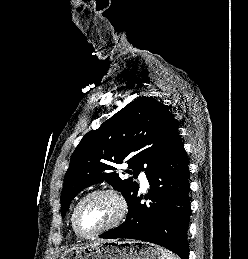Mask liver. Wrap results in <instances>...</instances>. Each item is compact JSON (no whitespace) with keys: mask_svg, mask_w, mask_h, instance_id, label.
Segmentation results:
<instances>
[{"mask_svg":"<svg viewBox=\"0 0 248 259\" xmlns=\"http://www.w3.org/2000/svg\"><path fill=\"white\" fill-rule=\"evenodd\" d=\"M111 241H113V240H100V241L95 242V243H93V244H98L99 242H111Z\"/></svg>","mask_w":248,"mask_h":259,"instance_id":"1","label":"liver"}]
</instances>
